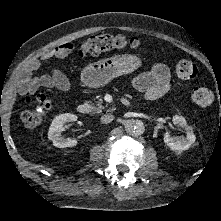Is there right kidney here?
I'll list each match as a JSON object with an SVG mask.
<instances>
[{
	"label": "right kidney",
	"mask_w": 221,
	"mask_h": 221,
	"mask_svg": "<svg viewBox=\"0 0 221 221\" xmlns=\"http://www.w3.org/2000/svg\"><path fill=\"white\" fill-rule=\"evenodd\" d=\"M76 120L77 116L71 113L61 114L53 119L49 127L48 138L53 142L54 146L58 148H67L77 145L78 142L76 139L61 137V132L64 131L63 125Z\"/></svg>",
	"instance_id": "1"
}]
</instances>
